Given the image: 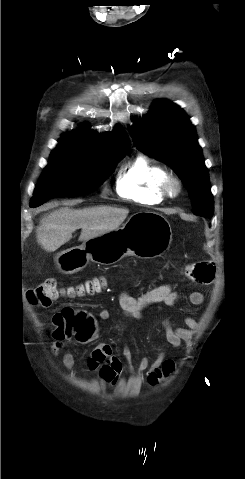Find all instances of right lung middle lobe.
Wrapping results in <instances>:
<instances>
[{"label": "right lung middle lobe", "mask_w": 245, "mask_h": 479, "mask_svg": "<svg viewBox=\"0 0 245 479\" xmlns=\"http://www.w3.org/2000/svg\"><path fill=\"white\" fill-rule=\"evenodd\" d=\"M126 152L94 150L60 141L35 188L30 206L37 207L51 198L76 197L93 192Z\"/></svg>", "instance_id": "1"}]
</instances>
